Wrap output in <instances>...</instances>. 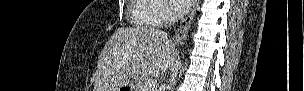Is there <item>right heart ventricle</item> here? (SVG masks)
Returning <instances> with one entry per match:
<instances>
[{"mask_svg":"<svg viewBox=\"0 0 304 91\" xmlns=\"http://www.w3.org/2000/svg\"><path fill=\"white\" fill-rule=\"evenodd\" d=\"M157 10L158 5L153 0H132L129 8L131 22L140 27H153Z\"/></svg>","mask_w":304,"mask_h":91,"instance_id":"e07e8e85","label":"right heart ventricle"}]
</instances>
